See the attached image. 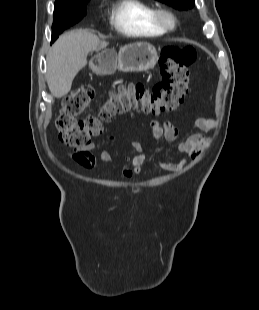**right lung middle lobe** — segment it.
<instances>
[{"mask_svg": "<svg viewBox=\"0 0 259 310\" xmlns=\"http://www.w3.org/2000/svg\"><path fill=\"white\" fill-rule=\"evenodd\" d=\"M89 0L71 7L54 8V19L52 25L51 41H55L59 34L75 23L79 22L86 15V4Z\"/></svg>", "mask_w": 259, "mask_h": 310, "instance_id": "obj_1", "label": "right lung middle lobe"}]
</instances>
